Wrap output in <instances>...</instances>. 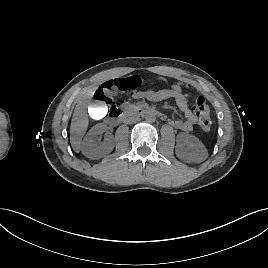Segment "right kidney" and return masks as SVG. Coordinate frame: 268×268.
Here are the masks:
<instances>
[{"label":"right kidney","mask_w":268,"mask_h":268,"mask_svg":"<svg viewBox=\"0 0 268 268\" xmlns=\"http://www.w3.org/2000/svg\"><path fill=\"white\" fill-rule=\"evenodd\" d=\"M107 130L105 124H97L92 127L84 137L81 144L83 155L90 159H98L109 154L113 148V138L110 134L105 136L103 142H98L97 139Z\"/></svg>","instance_id":"ca27d5eb"}]
</instances>
